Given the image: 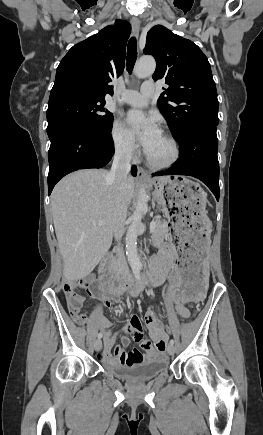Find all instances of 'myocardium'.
<instances>
[{
  "label": "myocardium",
  "instance_id": "f54148a6",
  "mask_svg": "<svg viewBox=\"0 0 263 435\" xmlns=\"http://www.w3.org/2000/svg\"><path fill=\"white\" fill-rule=\"evenodd\" d=\"M162 136L170 142V144L173 148V155L169 160H167L165 162H156L149 156L148 153H146V162H147L148 166L152 169H155V170H163V169H167V168L173 166L174 164H176L178 162V160L180 159V155H181L180 146H179L178 141L175 139V137L169 133H164Z\"/></svg>",
  "mask_w": 263,
  "mask_h": 435
}]
</instances>
